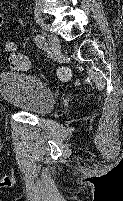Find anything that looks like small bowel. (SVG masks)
I'll list each match as a JSON object with an SVG mask.
<instances>
[{"label":"small bowel","mask_w":123,"mask_h":201,"mask_svg":"<svg viewBox=\"0 0 123 201\" xmlns=\"http://www.w3.org/2000/svg\"><path fill=\"white\" fill-rule=\"evenodd\" d=\"M4 23H5V16L0 11V28L3 26Z\"/></svg>","instance_id":"1"}]
</instances>
